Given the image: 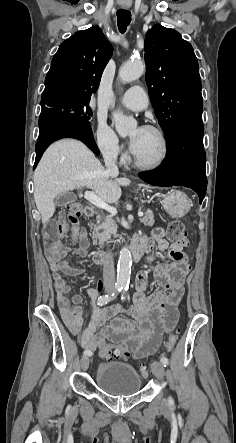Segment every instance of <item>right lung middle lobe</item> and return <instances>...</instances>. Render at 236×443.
<instances>
[{
  "instance_id": "1",
  "label": "right lung middle lobe",
  "mask_w": 236,
  "mask_h": 443,
  "mask_svg": "<svg viewBox=\"0 0 236 443\" xmlns=\"http://www.w3.org/2000/svg\"><path fill=\"white\" fill-rule=\"evenodd\" d=\"M89 98L75 95H55L41 102L42 110L47 108L59 109L66 112L71 118L90 126L89 119L92 110L88 105Z\"/></svg>"
}]
</instances>
